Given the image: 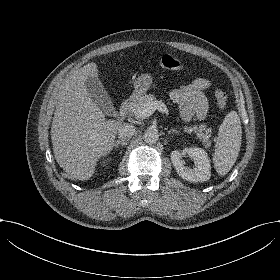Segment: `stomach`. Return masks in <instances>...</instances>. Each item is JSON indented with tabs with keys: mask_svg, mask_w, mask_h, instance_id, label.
<instances>
[{
	"mask_svg": "<svg viewBox=\"0 0 280 280\" xmlns=\"http://www.w3.org/2000/svg\"><path fill=\"white\" fill-rule=\"evenodd\" d=\"M152 85V77L150 74L145 73L141 74L134 82V91L131 99H137L139 96L146 93V91L151 87Z\"/></svg>",
	"mask_w": 280,
	"mask_h": 280,
	"instance_id": "obj_1",
	"label": "stomach"
}]
</instances>
